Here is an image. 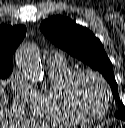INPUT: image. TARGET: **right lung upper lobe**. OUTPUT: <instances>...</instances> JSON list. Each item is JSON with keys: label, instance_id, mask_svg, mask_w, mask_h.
Masks as SVG:
<instances>
[{"label": "right lung upper lobe", "instance_id": "right-lung-upper-lobe-1", "mask_svg": "<svg viewBox=\"0 0 125 128\" xmlns=\"http://www.w3.org/2000/svg\"><path fill=\"white\" fill-rule=\"evenodd\" d=\"M26 34L23 25H0V64L12 65V55Z\"/></svg>", "mask_w": 125, "mask_h": 128}]
</instances>
